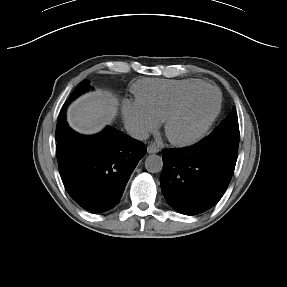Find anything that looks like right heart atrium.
I'll return each instance as SVG.
<instances>
[{
    "label": "right heart atrium",
    "mask_w": 287,
    "mask_h": 287,
    "mask_svg": "<svg viewBox=\"0 0 287 287\" xmlns=\"http://www.w3.org/2000/svg\"><path fill=\"white\" fill-rule=\"evenodd\" d=\"M122 114L129 130L138 137L147 136L160 125V121L138 101H125Z\"/></svg>",
    "instance_id": "d8ad5b80"
}]
</instances>
